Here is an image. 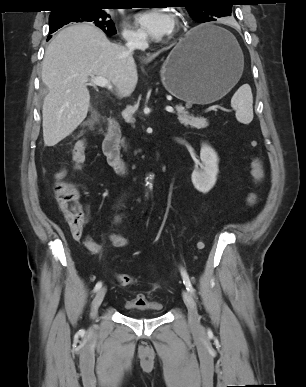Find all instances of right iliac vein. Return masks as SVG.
<instances>
[{
    "mask_svg": "<svg viewBox=\"0 0 306 387\" xmlns=\"http://www.w3.org/2000/svg\"><path fill=\"white\" fill-rule=\"evenodd\" d=\"M105 294H106V288L103 287V288L98 290V292L96 293V295L93 299L92 307H91V317L93 319H95L97 316L98 308L101 305V303L105 297Z\"/></svg>",
    "mask_w": 306,
    "mask_h": 387,
    "instance_id": "1",
    "label": "right iliac vein"
}]
</instances>
